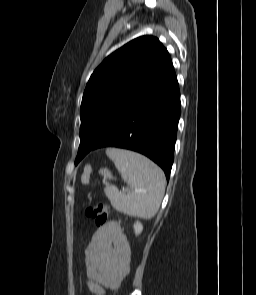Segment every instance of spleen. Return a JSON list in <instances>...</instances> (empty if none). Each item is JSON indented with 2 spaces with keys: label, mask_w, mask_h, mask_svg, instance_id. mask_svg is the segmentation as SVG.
<instances>
[{
  "label": "spleen",
  "mask_w": 256,
  "mask_h": 295,
  "mask_svg": "<svg viewBox=\"0 0 256 295\" xmlns=\"http://www.w3.org/2000/svg\"><path fill=\"white\" fill-rule=\"evenodd\" d=\"M106 154L114 162L122 179L130 186L126 194L115 186L107 185L104 192L111 205L127 215L145 219L153 218L159 210L165 192L166 179L163 171L145 156L116 148H108ZM90 167H85L82 182L89 183ZM105 179H112L106 169L99 171Z\"/></svg>",
  "instance_id": "1"
}]
</instances>
